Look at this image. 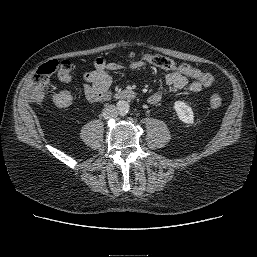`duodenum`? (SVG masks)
<instances>
[{"instance_id":"1","label":"duodenum","mask_w":257,"mask_h":257,"mask_svg":"<svg viewBox=\"0 0 257 257\" xmlns=\"http://www.w3.org/2000/svg\"><path fill=\"white\" fill-rule=\"evenodd\" d=\"M134 93L129 90H123L120 92H117L113 95V98L118 99V100H124V99H129L133 97Z\"/></svg>"}]
</instances>
